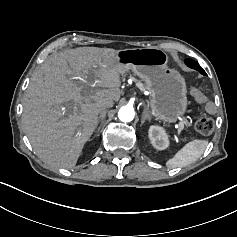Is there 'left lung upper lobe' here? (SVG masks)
Segmentation results:
<instances>
[{"instance_id":"left-lung-upper-lobe-1","label":"left lung upper lobe","mask_w":237,"mask_h":237,"mask_svg":"<svg viewBox=\"0 0 237 237\" xmlns=\"http://www.w3.org/2000/svg\"><path fill=\"white\" fill-rule=\"evenodd\" d=\"M185 64L190 67L193 68L197 71H199L202 75H207L206 72L203 70V68L198 64V62L192 60V59H186L185 60Z\"/></svg>"}]
</instances>
